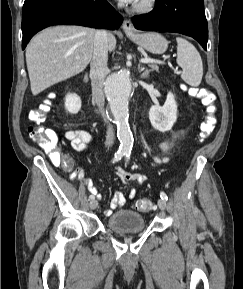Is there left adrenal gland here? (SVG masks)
Masks as SVG:
<instances>
[{"mask_svg":"<svg viewBox=\"0 0 243 289\" xmlns=\"http://www.w3.org/2000/svg\"><path fill=\"white\" fill-rule=\"evenodd\" d=\"M138 70H139L141 77L143 78H147L149 76V73L152 71L150 69H145V67L140 66V65L138 66Z\"/></svg>","mask_w":243,"mask_h":289,"instance_id":"a2214340","label":"left adrenal gland"}]
</instances>
